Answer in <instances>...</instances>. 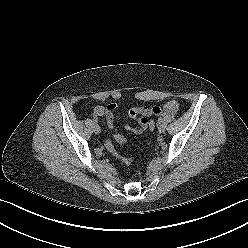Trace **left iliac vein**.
<instances>
[{"label": "left iliac vein", "instance_id": "4c4485c4", "mask_svg": "<svg viewBox=\"0 0 248 248\" xmlns=\"http://www.w3.org/2000/svg\"><path fill=\"white\" fill-rule=\"evenodd\" d=\"M166 127L164 124H158V131L160 133H163L165 131Z\"/></svg>", "mask_w": 248, "mask_h": 248}]
</instances>
